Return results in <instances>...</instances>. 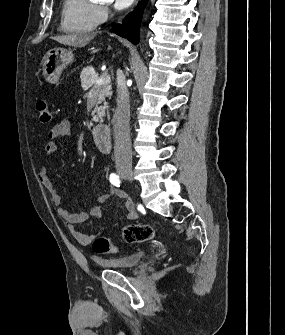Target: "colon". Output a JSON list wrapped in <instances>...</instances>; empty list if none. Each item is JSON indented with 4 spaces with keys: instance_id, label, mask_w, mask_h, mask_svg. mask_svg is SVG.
I'll return each instance as SVG.
<instances>
[{
    "instance_id": "5ec220e1",
    "label": "colon",
    "mask_w": 285,
    "mask_h": 335,
    "mask_svg": "<svg viewBox=\"0 0 285 335\" xmlns=\"http://www.w3.org/2000/svg\"><path fill=\"white\" fill-rule=\"evenodd\" d=\"M36 114L42 123L50 122L51 111L46 100L40 99L37 101ZM120 234L127 243H142L152 240L155 236V230L152 226L146 224H130L125 226ZM91 246L93 251L99 254L118 251V248L113 245L110 238L104 234L97 235L93 239Z\"/></svg>"
}]
</instances>
